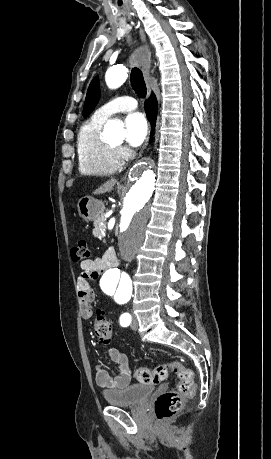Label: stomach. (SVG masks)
<instances>
[{
	"instance_id": "stomach-1",
	"label": "stomach",
	"mask_w": 271,
	"mask_h": 459,
	"mask_svg": "<svg viewBox=\"0 0 271 459\" xmlns=\"http://www.w3.org/2000/svg\"><path fill=\"white\" fill-rule=\"evenodd\" d=\"M79 216L87 222H94L98 220L101 214L104 212V204L100 200H95V198H90V196H85L81 198L77 204Z\"/></svg>"
}]
</instances>
